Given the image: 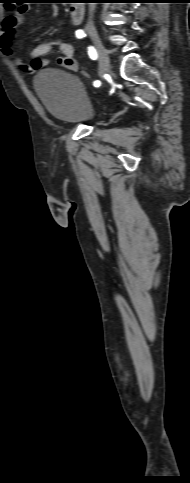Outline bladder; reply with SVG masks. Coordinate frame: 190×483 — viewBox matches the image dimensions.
Returning <instances> with one entry per match:
<instances>
[{
    "label": "bladder",
    "instance_id": "bladder-1",
    "mask_svg": "<svg viewBox=\"0 0 190 483\" xmlns=\"http://www.w3.org/2000/svg\"><path fill=\"white\" fill-rule=\"evenodd\" d=\"M34 85L43 105L59 120L87 123L96 117V110L84 84L73 73L47 68L36 75Z\"/></svg>",
    "mask_w": 190,
    "mask_h": 483
}]
</instances>
